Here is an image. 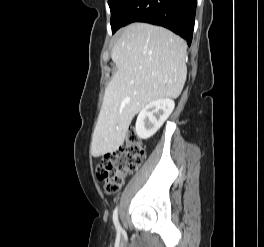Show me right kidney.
Instances as JSON below:
<instances>
[{
    "label": "right kidney",
    "mask_w": 264,
    "mask_h": 247,
    "mask_svg": "<svg viewBox=\"0 0 264 247\" xmlns=\"http://www.w3.org/2000/svg\"><path fill=\"white\" fill-rule=\"evenodd\" d=\"M172 99L163 98L148 103L140 111L136 120V133L141 139L153 136L174 110Z\"/></svg>",
    "instance_id": "obj_1"
}]
</instances>
